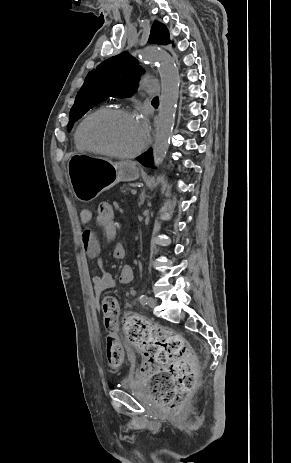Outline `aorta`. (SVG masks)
Instances as JSON below:
<instances>
[{"instance_id":"obj_1","label":"aorta","mask_w":291,"mask_h":463,"mask_svg":"<svg viewBox=\"0 0 291 463\" xmlns=\"http://www.w3.org/2000/svg\"><path fill=\"white\" fill-rule=\"evenodd\" d=\"M139 58L142 62H157L159 66L161 96L153 144L154 164L159 166L167 154L172 136L180 85L179 72L172 58L156 48L144 49Z\"/></svg>"}]
</instances>
